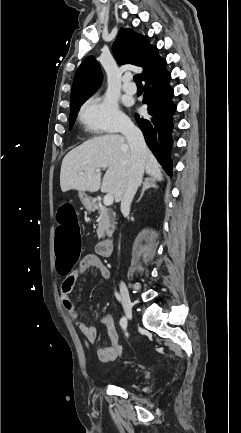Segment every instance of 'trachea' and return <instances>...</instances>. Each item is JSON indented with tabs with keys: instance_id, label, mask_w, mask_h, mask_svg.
Instances as JSON below:
<instances>
[{
	"instance_id": "3493384b",
	"label": "trachea",
	"mask_w": 241,
	"mask_h": 433,
	"mask_svg": "<svg viewBox=\"0 0 241 433\" xmlns=\"http://www.w3.org/2000/svg\"><path fill=\"white\" fill-rule=\"evenodd\" d=\"M134 81L137 85H142V82L140 80V76L138 74L134 75Z\"/></svg>"
}]
</instances>
